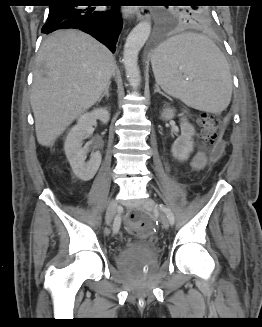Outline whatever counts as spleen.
Returning <instances> with one entry per match:
<instances>
[{
  "label": "spleen",
  "instance_id": "spleen-1",
  "mask_svg": "<svg viewBox=\"0 0 262 327\" xmlns=\"http://www.w3.org/2000/svg\"><path fill=\"white\" fill-rule=\"evenodd\" d=\"M151 64L163 91L189 107L220 114L231 101L229 64L204 35L184 33L167 39L154 51Z\"/></svg>",
  "mask_w": 262,
  "mask_h": 327
}]
</instances>
